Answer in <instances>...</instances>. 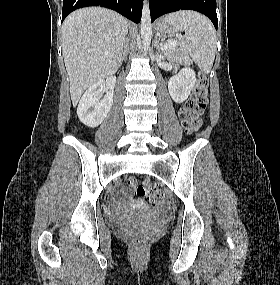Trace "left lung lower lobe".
Listing matches in <instances>:
<instances>
[{
	"mask_svg": "<svg viewBox=\"0 0 280 285\" xmlns=\"http://www.w3.org/2000/svg\"><path fill=\"white\" fill-rule=\"evenodd\" d=\"M151 22L166 13L178 10H195L205 14L218 28L216 0H149Z\"/></svg>",
	"mask_w": 280,
	"mask_h": 285,
	"instance_id": "1",
	"label": "left lung lower lobe"
}]
</instances>
